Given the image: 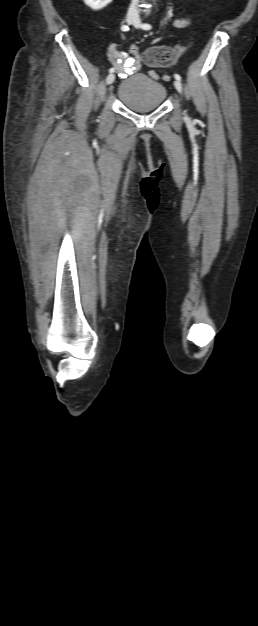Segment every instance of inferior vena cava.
Segmentation results:
<instances>
[{"mask_svg": "<svg viewBox=\"0 0 258 626\" xmlns=\"http://www.w3.org/2000/svg\"><path fill=\"white\" fill-rule=\"evenodd\" d=\"M139 0H132L131 5L128 9V16H136L138 17V8H137V4H138Z\"/></svg>", "mask_w": 258, "mask_h": 626, "instance_id": "inferior-vena-cava-1", "label": "inferior vena cava"}]
</instances>
